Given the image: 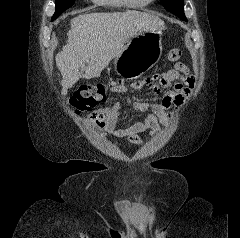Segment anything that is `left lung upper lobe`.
Returning a JSON list of instances; mask_svg holds the SVG:
<instances>
[{
  "label": "left lung upper lobe",
  "mask_w": 240,
  "mask_h": 238,
  "mask_svg": "<svg viewBox=\"0 0 240 238\" xmlns=\"http://www.w3.org/2000/svg\"><path fill=\"white\" fill-rule=\"evenodd\" d=\"M161 2L167 10L175 14L183 21H187L184 14V0H161Z\"/></svg>",
  "instance_id": "left-lung-upper-lobe-1"
}]
</instances>
